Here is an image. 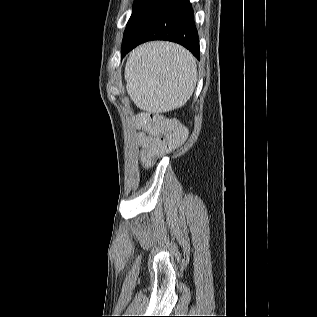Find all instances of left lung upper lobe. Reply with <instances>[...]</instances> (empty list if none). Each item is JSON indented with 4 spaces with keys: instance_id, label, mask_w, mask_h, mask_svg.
<instances>
[{
    "instance_id": "left-lung-upper-lobe-1",
    "label": "left lung upper lobe",
    "mask_w": 317,
    "mask_h": 317,
    "mask_svg": "<svg viewBox=\"0 0 317 317\" xmlns=\"http://www.w3.org/2000/svg\"><path fill=\"white\" fill-rule=\"evenodd\" d=\"M166 1L167 0H135L132 15L126 25L122 44L129 42L139 32L146 21Z\"/></svg>"
}]
</instances>
